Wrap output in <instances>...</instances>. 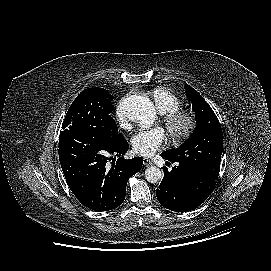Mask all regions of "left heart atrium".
Returning a JSON list of instances; mask_svg holds the SVG:
<instances>
[{"mask_svg": "<svg viewBox=\"0 0 271 271\" xmlns=\"http://www.w3.org/2000/svg\"><path fill=\"white\" fill-rule=\"evenodd\" d=\"M166 137L160 127L141 130L132 138L135 153L143 157L153 156L165 143Z\"/></svg>", "mask_w": 271, "mask_h": 271, "instance_id": "39dd6f15", "label": "left heart atrium"}]
</instances>
